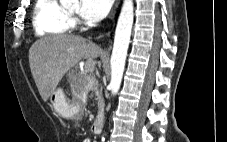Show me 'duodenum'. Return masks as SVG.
Segmentation results:
<instances>
[{
  "instance_id": "410a0bca",
  "label": "duodenum",
  "mask_w": 227,
  "mask_h": 142,
  "mask_svg": "<svg viewBox=\"0 0 227 142\" xmlns=\"http://www.w3.org/2000/svg\"><path fill=\"white\" fill-rule=\"evenodd\" d=\"M102 122H103V115L100 114L91 126L92 133H94V134L100 133L101 127H102Z\"/></svg>"
}]
</instances>
